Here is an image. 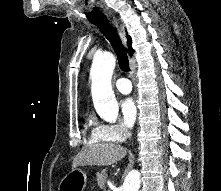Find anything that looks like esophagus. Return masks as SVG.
<instances>
[{"mask_svg": "<svg viewBox=\"0 0 221 191\" xmlns=\"http://www.w3.org/2000/svg\"><path fill=\"white\" fill-rule=\"evenodd\" d=\"M108 19L117 28L122 41L124 42V44H126L127 40H126L125 30H124L123 26L120 24V22L118 21V19L115 16H111V15L108 16Z\"/></svg>", "mask_w": 221, "mask_h": 191, "instance_id": "esophagus-1", "label": "esophagus"}]
</instances>
